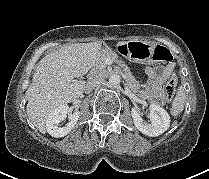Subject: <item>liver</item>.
Returning <instances> with one entry per match:
<instances>
[{
	"instance_id": "obj_1",
	"label": "liver",
	"mask_w": 209,
	"mask_h": 179,
	"mask_svg": "<svg viewBox=\"0 0 209 179\" xmlns=\"http://www.w3.org/2000/svg\"><path fill=\"white\" fill-rule=\"evenodd\" d=\"M127 43L117 42L116 47ZM102 48L101 42L63 45L38 62L25 96L28 118L41 133H46L47 117L55 108L82 96L86 83L73 79L86 75L97 65L105 56Z\"/></svg>"
}]
</instances>
